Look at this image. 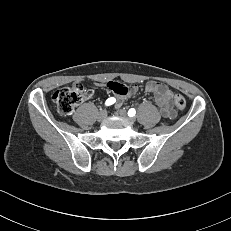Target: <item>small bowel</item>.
<instances>
[{
  "mask_svg": "<svg viewBox=\"0 0 231 231\" xmlns=\"http://www.w3.org/2000/svg\"><path fill=\"white\" fill-rule=\"evenodd\" d=\"M108 88L116 93L118 96L123 97L127 94L128 88L125 85L111 82L108 84ZM146 90L154 95L155 102L160 109L163 117L167 119H173L176 116L175 110L171 106L172 92L170 89L159 82L149 81L146 84ZM92 93H89V96Z\"/></svg>",
  "mask_w": 231,
  "mask_h": 231,
  "instance_id": "1",
  "label": "small bowel"
}]
</instances>
